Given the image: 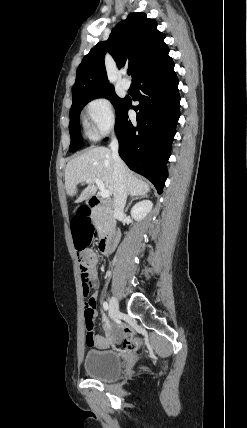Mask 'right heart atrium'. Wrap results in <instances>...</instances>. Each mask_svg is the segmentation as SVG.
Instances as JSON below:
<instances>
[{
	"mask_svg": "<svg viewBox=\"0 0 247 428\" xmlns=\"http://www.w3.org/2000/svg\"><path fill=\"white\" fill-rule=\"evenodd\" d=\"M88 134L98 139L108 134L115 126V112L107 97H97L91 100L85 108Z\"/></svg>",
	"mask_w": 247,
	"mask_h": 428,
	"instance_id": "1",
	"label": "right heart atrium"
}]
</instances>
